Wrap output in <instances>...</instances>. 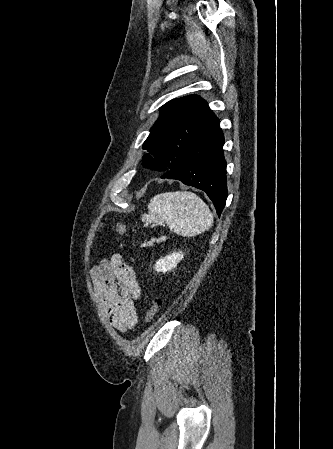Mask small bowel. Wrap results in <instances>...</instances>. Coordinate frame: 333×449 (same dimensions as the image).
I'll use <instances>...</instances> for the list:
<instances>
[{
    "label": "small bowel",
    "mask_w": 333,
    "mask_h": 449,
    "mask_svg": "<svg viewBox=\"0 0 333 449\" xmlns=\"http://www.w3.org/2000/svg\"><path fill=\"white\" fill-rule=\"evenodd\" d=\"M95 299L109 323L125 332L138 322L136 303L140 287L133 268L119 254L101 260L92 269Z\"/></svg>",
    "instance_id": "c3829d8e"
}]
</instances>
